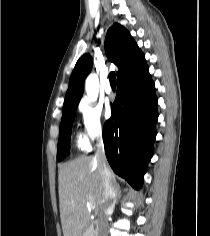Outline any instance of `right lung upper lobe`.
<instances>
[{
  "label": "right lung upper lobe",
  "instance_id": "obj_1",
  "mask_svg": "<svg viewBox=\"0 0 210 236\" xmlns=\"http://www.w3.org/2000/svg\"><path fill=\"white\" fill-rule=\"evenodd\" d=\"M105 49L108 58L117 65V80L133 73L146 63L144 54L138 48L130 33L115 23L107 32ZM92 68V58L84 54L76 63L71 74L63 112L76 109L83 94L86 76Z\"/></svg>",
  "mask_w": 210,
  "mask_h": 236
}]
</instances>
